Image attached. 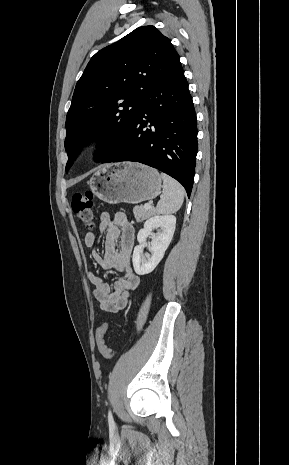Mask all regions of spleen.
<instances>
[{
	"instance_id": "obj_1",
	"label": "spleen",
	"mask_w": 289,
	"mask_h": 465,
	"mask_svg": "<svg viewBox=\"0 0 289 465\" xmlns=\"http://www.w3.org/2000/svg\"><path fill=\"white\" fill-rule=\"evenodd\" d=\"M163 179V194L159 200L156 213L171 214L177 212L184 201V188L172 177L161 173Z\"/></svg>"
}]
</instances>
